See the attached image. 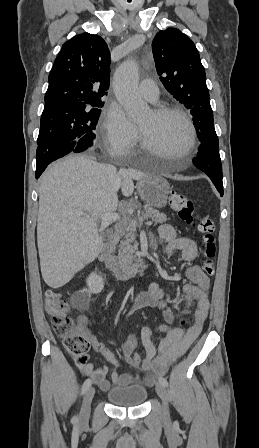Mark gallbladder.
Returning a JSON list of instances; mask_svg holds the SVG:
<instances>
[{"instance_id": "bac80fb5", "label": "gallbladder", "mask_w": 259, "mask_h": 448, "mask_svg": "<svg viewBox=\"0 0 259 448\" xmlns=\"http://www.w3.org/2000/svg\"><path fill=\"white\" fill-rule=\"evenodd\" d=\"M112 236V232H105V234H103L102 238H103V242H108V240H110Z\"/></svg>"}]
</instances>
